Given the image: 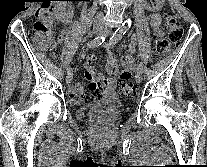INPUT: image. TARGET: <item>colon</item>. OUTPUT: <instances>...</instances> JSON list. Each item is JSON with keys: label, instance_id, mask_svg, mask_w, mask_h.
<instances>
[{"label": "colon", "instance_id": "colon-1", "mask_svg": "<svg viewBox=\"0 0 207 167\" xmlns=\"http://www.w3.org/2000/svg\"><path fill=\"white\" fill-rule=\"evenodd\" d=\"M168 36L166 38H157L155 40L156 50L159 54H166L171 45L181 42L184 31L177 19L174 16H167L166 23ZM53 16L51 7H40L36 12V21L33 24L35 37L38 41L44 43L48 49L54 47L52 39ZM129 78L122 73L121 82L118 85L120 93L129 96L132 95L136 87L134 83L128 80Z\"/></svg>", "mask_w": 207, "mask_h": 167}]
</instances>
